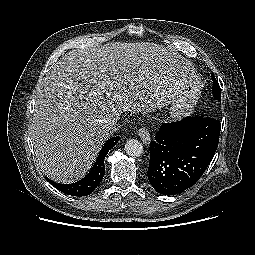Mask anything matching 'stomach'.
Here are the masks:
<instances>
[{
  "instance_id": "1",
  "label": "stomach",
  "mask_w": 255,
  "mask_h": 255,
  "mask_svg": "<svg viewBox=\"0 0 255 255\" xmlns=\"http://www.w3.org/2000/svg\"><path fill=\"white\" fill-rule=\"evenodd\" d=\"M170 114L173 118H179L182 115L181 108L177 104H173Z\"/></svg>"
}]
</instances>
